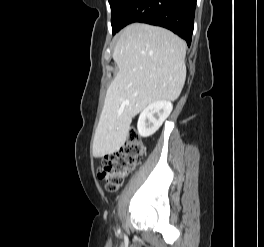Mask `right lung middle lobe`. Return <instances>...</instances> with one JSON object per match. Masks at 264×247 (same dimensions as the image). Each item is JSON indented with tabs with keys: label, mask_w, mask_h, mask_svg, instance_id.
Listing matches in <instances>:
<instances>
[{
	"label": "right lung middle lobe",
	"mask_w": 264,
	"mask_h": 247,
	"mask_svg": "<svg viewBox=\"0 0 264 247\" xmlns=\"http://www.w3.org/2000/svg\"><path fill=\"white\" fill-rule=\"evenodd\" d=\"M129 1L130 0H109L112 11L111 25L113 33L115 32L117 27V20Z\"/></svg>",
	"instance_id": "right-lung-middle-lobe-1"
}]
</instances>
